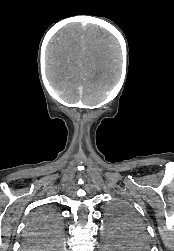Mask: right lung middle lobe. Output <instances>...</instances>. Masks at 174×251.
<instances>
[{"label":"right lung middle lobe","instance_id":"right-lung-middle-lobe-1","mask_svg":"<svg viewBox=\"0 0 174 251\" xmlns=\"http://www.w3.org/2000/svg\"><path fill=\"white\" fill-rule=\"evenodd\" d=\"M61 233L62 226L56 211L48 207L41 208L35 212L30 220L27 235L36 237L37 242L29 245L28 249L43 250V248H50L59 250L61 248L59 241Z\"/></svg>","mask_w":174,"mask_h":251}]
</instances>
